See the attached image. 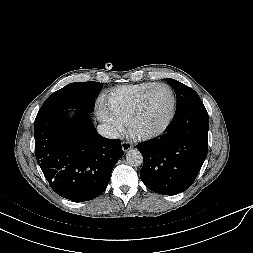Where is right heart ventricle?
I'll list each match as a JSON object with an SVG mask.
<instances>
[{
	"mask_svg": "<svg viewBox=\"0 0 253 253\" xmlns=\"http://www.w3.org/2000/svg\"><path fill=\"white\" fill-rule=\"evenodd\" d=\"M152 82L122 85L110 90L104 98L107 110L122 124H126L141 94Z\"/></svg>",
	"mask_w": 253,
	"mask_h": 253,
	"instance_id": "e07e8e85",
	"label": "right heart ventricle"
}]
</instances>
